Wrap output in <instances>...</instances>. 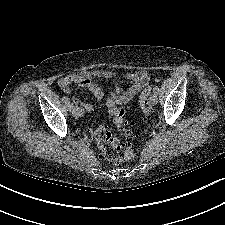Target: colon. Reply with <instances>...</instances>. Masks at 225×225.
I'll return each instance as SVG.
<instances>
[{"label":"colon","instance_id":"obj_1","mask_svg":"<svg viewBox=\"0 0 225 225\" xmlns=\"http://www.w3.org/2000/svg\"><path fill=\"white\" fill-rule=\"evenodd\" d=\"M151 87L145 88L139 95V107L142 117L148 121L151 117V109L149 106V95ZM109 114L114 121L118 131L126 137L135 136L134 132L128 127L125 122V109L123 107H112L109 109ZM93 139L99 146L103 156L111 163H121L130 161L135 157V150L131 143L120 142L119 139L106 126L97 128L92 133Z\"/></svg>","mask_w":225,"mask_h":225}]
</instances>
